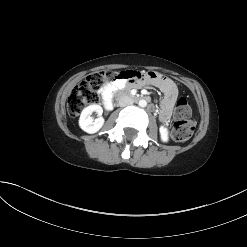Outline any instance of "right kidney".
Instances as JSON below:
<instances>
[{
	"label": "right kidney",
	"instance_id": "obj_1",
	"mask_svg": "<svg viewBox=\"0 0 247 247\" xmlns=\"http://www.w3.org/2000/svg\"><path fill=\"white\" fill-rule=\"evenodd\" d=\"M93 112H96L99 115L95 120L91 117ZM102 113V107L97 104L89 105L84 108L79 118L80 128L89 134L98 132L104 124V118L101 116Z\"/></svg>",
	"mask_w": 247,
	"mask_h": 247
}]
</instances>
